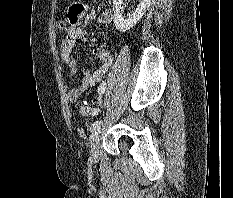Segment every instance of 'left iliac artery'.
<instances>
[{
	"mask_svg": "<svg viewBox=\"0 0 233 198\" xmlns=\"http://www.w3.org/2000/svg\"><path fill=\"white\" fill-rule=\"evenodd\" d=\"M104 90H105V86H104V84H103V85H101V87H100V91L103 92ZM101 124H102V121H101V120H97V121L93 122V123H92V128H93V130L99 128Z\"/></svg>",
	"mask_w": 233,
	"mask_h": 198,
	"instance_id": "left-iliac-artery-1",
	"label": "left iliac artery"
}]
</instances>
